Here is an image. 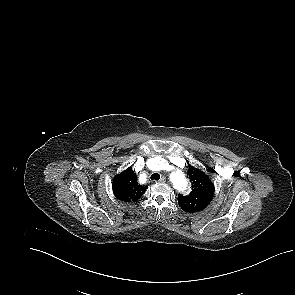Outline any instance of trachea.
<instances>
[{
  "instance_id": "obj_1",
  "label": "trachea",
  "mask_w": 295,
  "mask_h": 295,
  "mask_svg": "<svg viewBox=\"0 0 295 295\" xmlns=\"http://www.w3.org/2000/svg\"><path fill=\"white\" fill-rule=\"evenodd\" d=\"M160 179V175L158 173H154L151 175V180H159Z\"/></svg>"
}]
</instances>
